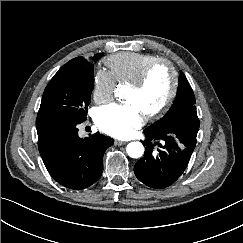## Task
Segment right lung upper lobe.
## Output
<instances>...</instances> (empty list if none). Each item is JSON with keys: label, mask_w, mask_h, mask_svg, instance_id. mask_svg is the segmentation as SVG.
Returning <instances> with one entry per match:
<instances>
[{"label": "right lung upper lobe", "mask_w": 243, "mask_h": 243, "mask_svg": "<svg viewBox=\"0 0 243 243\" xmlns=\"http://www.w3.org/2000/svg\"><path fill=\"white\" fill-rule=\"evenodd\" d=\"M86 60L83 57H76L69 62L66 63V65H77L85 62Z\"/></svg>", "instance_id": "right-lung-upper-lobe-1"}]
</instances>
